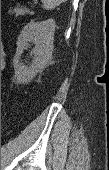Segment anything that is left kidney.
Segmentation results:
<instances>
[{
	"label": "left kidney",
	"instance_id": "left-kidney-1",
	"mask_svg": "<svg viewBox=\"0 0 109 170\" xmlns=\"http://www.w3.org/2000/svg\"><path fill=\"white\" fill-rule=\"evenodd\" d=\"M55 21L47 19L45 21H31L28 23L17 42V52L13 63L15 71L19 75H28L42 69L53 52ZM28 41H33L36 47L32 50L34 60L27 66L22 62L21 54Z\"/></svg>",
	"mask_w": 109,
	"mask_h": 170
}]
</instances>
